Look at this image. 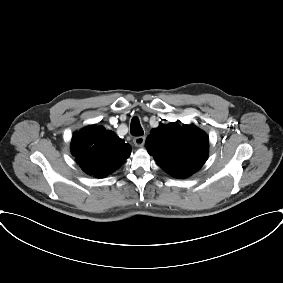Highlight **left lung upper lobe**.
<instances>
[{"label":"left lung upper lobe","mask_w":283,"mask_h":283,"mask_svg":"<svg viewBox=\"0 0 283 283\" xmlns=\"http://www.w3.org/2000/svg\"><path fill=\"white\" fill-rule=\"evenodd\" d=\"M146 148L165 172L186 178L206 162L208 137L193 125L160 124L147 136Z\"/></svg>","instance_id":"5c2ea615"}]
</instances>
